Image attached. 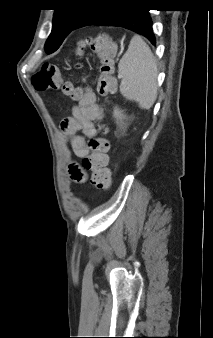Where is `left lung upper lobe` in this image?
Segmentation results:
<instances>
[{
  "mask_svg": "<svg viewBox=\"0 0 213 338\" xmlns=\"http://www.w3.org/2000/svg\"><path fill=\"white\" fill-rule=\"evenodd\" d=\"M109 0H58L62 6L54 12L53 27L45 43L47 53L56 51L75 25L96 5Z\"/></svg>",
  "mask_w": 213,
  "mask_h": 338,
  "instance_id": "obj_1",
  "label": "left lung upper lobe"
}]
</instances>
